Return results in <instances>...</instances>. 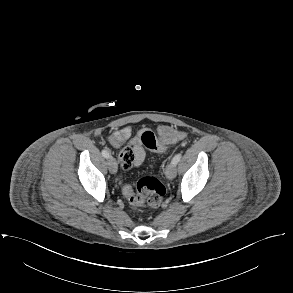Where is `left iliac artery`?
Wrapping results in <instances>:
<instances>
[{"label":"left iliac artery","instance_id":"44dca946","mask_svg":"<svg viewBox=\"0 0 293 293\" xmlns=\"http://www.w3.org/2000/svg\"><path fill=\"white\" fill-rule=\"evenodd\" d=\"M181 157H182V153H178V154H176V155L173 157V159H172V163L175 164V165H177L178 162L180 161Z\"/></svg>","mask_w":293,"mask_h":293}]
</instances>
